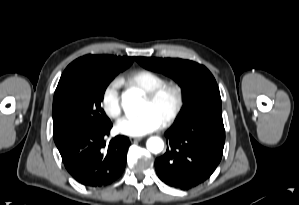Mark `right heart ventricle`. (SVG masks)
I'll return each mask as SVG.
<instances>
[{"instance_id":"e07e8e85","label":"right heart ventricle","mask_w":299,"mask_h":205,"mask_svg":"<svg viewBox=\"0 0 299 205\" xmlns=\"http://www.w3.org/2000/svg\"><path fill=\"white\" fill-rule=\"evenodd\" d=\"M123 82L130 88L146 93L163 83L164 79L162 76L153 71L142 69L127 75L123 79Z\"/></svg>"}]
</instances>
